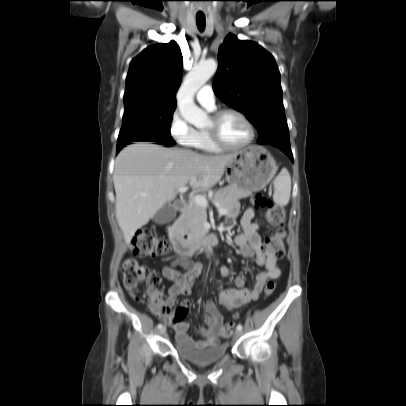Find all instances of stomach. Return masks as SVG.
<instances>
[{"instance_id": "obj_1", "label": "stomach", "mask_w": 406, "mask_h": 406, "mask_svg": "<svg viewBox=\"0 0 406 406\" xmlns=\"http://www.w3.org/2000/svg\"><path fill=\"white\" fill-rule=\"evenodd\" d=\"M277 169L274 158L264 147L251 146L235 153L226 166V178L231 186L258 192L272 180Z\"/></svg>"}]
</instances>
